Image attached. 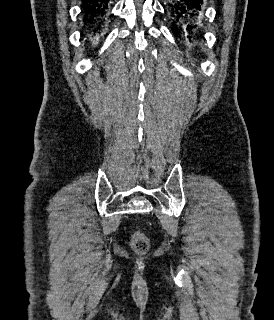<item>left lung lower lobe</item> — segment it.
I'll use <instances>...</instances> for the list:
<instances>
[{"mask_svg": "<svg viewBox=\"0 0 274 320\" xmlns=\"http://www.w3.org/2000/svg\"><path fill=\"white\" fill-rule=\"evenodd\" d=\"M167 6L177 22L197 23L203 14L202 0H169ZM194 27H197V25Z\"/></svg>", "mask_w": 274, "mask_h": 320, "instance_id": "obj_1", "label": "left lung lower lobe"}]
</instances>
